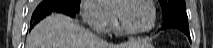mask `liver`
Segmentation results:
<instances>
[{
	"mask_svg": "<svg viewBox=\"0 0 213 48\" xmlns=\"http://www.w3.org/2000/svg\"><path fill=\"white\" fill-rule=\"evenodd\" d=\"M150 46L147 40L111 44L80 26L74 19L52 14L40 21L26 39V48H137Z\"/></svg>",
	"mask_w": 213,
	"mask_h": 48,
	"instance_id": "6515ba94",
	"label": "liver"
}]
</instances>
